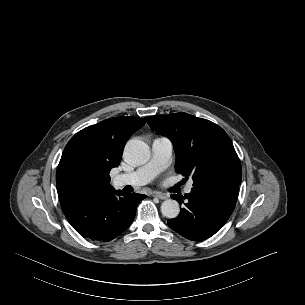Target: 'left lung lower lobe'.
Here are the masks:
<instances>
[{
	"mask_svg": "<svg viewBox=\"0 0 305 305\" xmlns=\"http://www.w3.org/2000/svg\"><path fill=\"white\" fill-rule=\"evenodd\" d=\"M238 184L214 185L206 189L192 188L184 196L171 195L180 204V214L168 220L174 231L190 240H204L214 235L232 214L237 196Z\"/></svg>",
	"mask_w": 305,
	"mask_h": 305,
	"instance_id": "1",
	"label": "left lung lower lobe"
}]
</instances>
